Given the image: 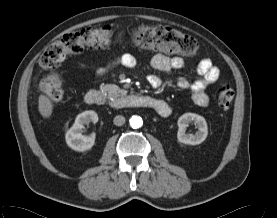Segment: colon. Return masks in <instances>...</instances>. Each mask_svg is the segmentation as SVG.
Returning <instances> with one entry per match:
<instances>
[{
    "label": "colon",
    "instance_id": "5ec220e1",
    "mask_svg": "<svg viewBox=\"0 0 277 218\" xmlns=\"http://www.w3.org/2000/svg\"><path fill=\"white\" fill-rule=\"evenodd\" d=\"M130 45L143 51H157L165 54L194 55L198 52L197 41L178 30L167 26H137L130 29H114L109 26L86 28L70 32L45 48L39 59L43 69H52L69 55L79 54L86 48L104 50L115 45ZM40 90L52 101L63 96L62 81L58 74H45ZM235 91L228 84L218 90V104L222 108L231 105Z\"/></svg>",
    "mask_w": 277,
    "mask_h": 218
}]
</instances>
